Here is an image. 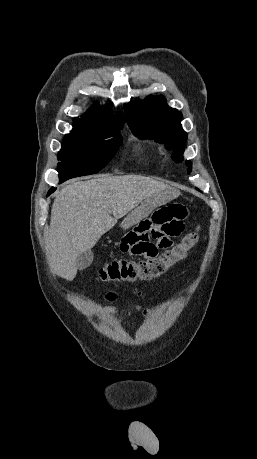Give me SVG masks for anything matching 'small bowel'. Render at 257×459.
<instances>
[{
  "instance_id": "c3829d8e",
  "label": "small bowel",
  "mask_w": 257,
  "mask_h": 459,
  "mask_svg": "<svg viewBox=\"0 0 257 459\" xmlns=\"http://www.w3.org/2000/svg\"><path fill=\"white\" fill-rule=\"evenodd\" d=\"M188 218V207L181 201H177L175 205H155V211H151L150 217H143L142 223H134L133 230H128L123 239H118L120 254L132 260L141 258L142 261H153L158 258V251H169L174 236L186 234L183 222ZM115 298L116 294H108L109 300ZM105 310L114 312L117 308L109 306ZM141 311L146 318L151 314L147 309Z\"/></svg>"
}]
</instances>
